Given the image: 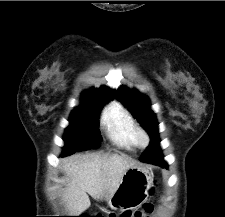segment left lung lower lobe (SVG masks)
<instances>
[{"instance_id": "0a47b994", "label": "left lung lower lobe", "mask_w": 225, "mask_h": 217, "mask_svg": "<svg viewBox=\"0 0 225 217\" xmlns=\"http://www.w3.org/2000/svg\"><path fill=\"white\" fill-rule=\"evenodd\" d=\"M159 139H153L147 148V155L141 158V161L156 164L167 168V164L163 161L161 150L159 149Z\"/></svg>"}]
</instances>
